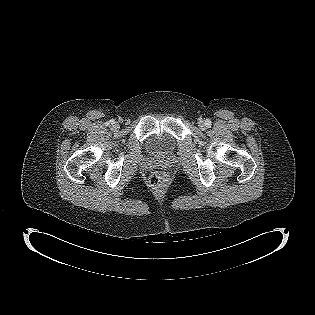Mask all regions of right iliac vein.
<instances>
[{"mask_svg":"<svg viewBox=\"0 0 315 315\" xmlns=\"http://www.w3.org/2000/svg\"><path fill=\"white\" fill-rule=\"evenodd\" d=\"M113 128H114V129H118V128H119V124H117V123L114 124V125H113Z\"/></svg>","mask_w":315,"mask_h":315,"instance_id":"63e3f726","label":"right iliac vein"}]
</instances>
